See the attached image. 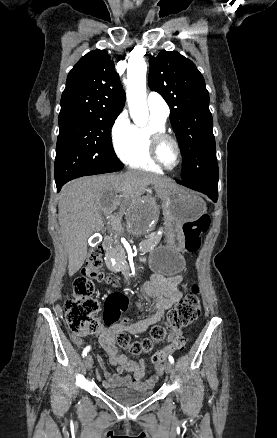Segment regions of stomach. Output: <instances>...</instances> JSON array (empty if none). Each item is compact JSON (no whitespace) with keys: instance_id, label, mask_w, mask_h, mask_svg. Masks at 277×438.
Listing matches in <instances>:
<instances>
[{"instance_id":"stomach-1","label":"stomach","mask_w":277,"mask_h":438,"mask_svg":"<svg viewBox=\"0 0 277 438\" xmlns=\"http://www.w3.org/2000/svg\"><path fill=\"white\" fill-rule=\"evenodd\" d=\"M163 202L166 245L150 251L149 266L153 272L175 275L185 267L181 252L185 248L182 225L199 219L207 210L205 201L195 192L157 187Z\"/></svg>"}]
</instances>
